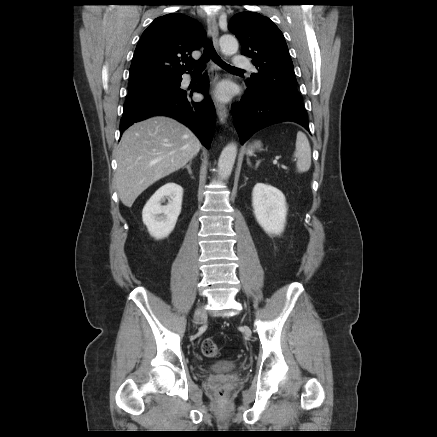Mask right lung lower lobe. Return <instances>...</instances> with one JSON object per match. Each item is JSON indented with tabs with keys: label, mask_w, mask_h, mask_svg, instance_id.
Returning a JSON list of instances; mask_svg holds the SVG:
<instances>
[{
	"label": "right lung lower lobe",
	"mask_w": 437,
	"mask_h": 437,
	"mask_svg": "<svg viewBox=\"0 0 437 437\" xmlns=\"http://www.w3.org/2000/svg\"><path fill=\"white\" fill-rule=\"evenodd\" d=\"M182 77L171 88L148 95L128 99L124 103L120 122L122 134L134 122L154 115L172 117L189 127L206 148H210L215 129L216 116L212 100L207 94L209 78L205 73L198 81L194 91L203 93L205 99L195 102L189 93L180 88Z\"/></svg>",
	"instance_id": "right-lung-lower-lobe-1"
}]
</instances>
